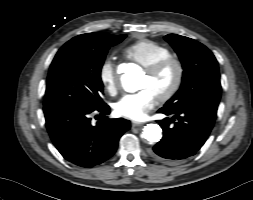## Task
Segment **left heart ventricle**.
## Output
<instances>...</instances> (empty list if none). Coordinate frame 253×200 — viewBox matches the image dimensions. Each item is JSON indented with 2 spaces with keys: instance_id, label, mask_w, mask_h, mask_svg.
Wrapping results in <instances>:
<instances>
[{
  "instance_id": "b2bd125f",
  "label": "left heart ventricle",
  "mask_w": 253,
  "mask_h": 200,
  "mask_svg": "<svg viewBox=\"0 0 253 200\" xmlns=\"http://www.w3.org/2000/svg\"><path fill=\"white\" fill-rule=\"evenodd\" d=\"M173 77L174 69L172 67L167 68L160 75L155 77H152L145 72L140 80L139 88H148L152 90L156 96H158L160 93L169 88L173 81Z\"/></svg>"
}]
</instances>
